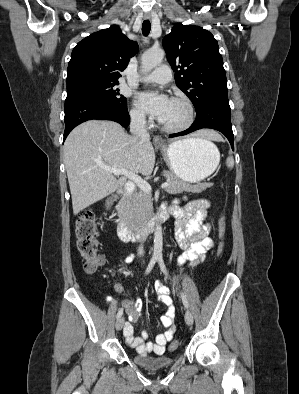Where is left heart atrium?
I'll list each match as a JSON object with an SVG mask.
<instances>
[{"mask_svg":"<svg viewBox=\"0 0 299 394\" xmlns=\"http://www.w3.org/2000/svg\"><path fill=\"white\" fill-rule=\"evenodd\" d=\"M171 99L164 95L152 91L139 94V105L146 112L161 120L167 113Z\"/></svg>","mask_w":299,"mask_h":394,"instance_id":"obj_1","label":"left heart atrium"}]
</instances>
